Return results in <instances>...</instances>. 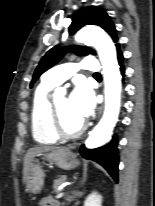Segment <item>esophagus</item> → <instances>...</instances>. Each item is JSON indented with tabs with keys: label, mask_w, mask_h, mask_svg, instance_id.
Segmentation results:
<instances>
[{
	"label": "esophagus",
	"mask_w": 155,
	"mask_h": 206,
	"mask_svg": "<svg viewBox=\"0 0 155 206\" xmlns=\"http://www.w3.org/2000/svg\"><path fill=\"white\" fill-rule=\"evenodd\" d=\"M100 114H101V112H100ZM67 146L70 149H74V148H76L77 145H76V143L73 142V143H69Z\"/></svg>",
	"instance_id": "esophagus-1"
}]
</instances>
